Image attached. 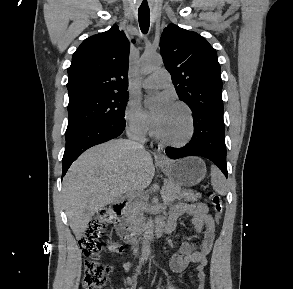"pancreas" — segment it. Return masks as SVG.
Returning <instances> with one entry per match:
<instances>
[{
    "instance_id": "cf45deb5",
    "label": "pancreas",
    "mask_w": 293,
    "mask_h": 289,
    "mask_svg": "<svg viewBox=\"0 0 293 289\" xmlns=\"http://www.w3.org/2000/svg\"><path fill=\"white\" fill-rule=\"evenodd\" d=\"M161 194L165 202L181 200L182 198L186 201H197L201 198L200 193H195L193 190H183L179 185L170 181H165ZM142 205L143 203L141 200L137 201L134 205V213L140 214V211L143 209Z\"/></svg>"
}]
</instances>
